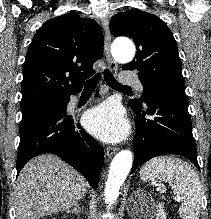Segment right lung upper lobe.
I'll list each match as a JSON object with an SVG mask.
<instances>
[{
    "label": "right lung upper lobe",
    "instance_id": "1",
    "mask_svg": "<svg viewBox=\"0 0 211 219\" xmlns=\"http://www.w3.org/2000/svg\"><path fill=\"white\" fill-rule=\"evenodd\" d=\"M97 22L64 14L44 23L29 45L23 65L21 105L65 100L79 93L92 65L103 55Z\"/></svg>",
    "mask_w": 211,
    "mask_h": 219
}]
</instances>
